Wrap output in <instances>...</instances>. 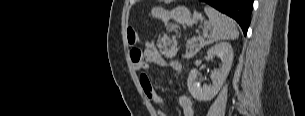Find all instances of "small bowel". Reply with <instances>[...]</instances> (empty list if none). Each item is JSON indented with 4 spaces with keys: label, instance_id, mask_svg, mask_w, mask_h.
I'll return each instance as SVG.
<instances>
[{
    "label": "small bowel",
    "instance_id": "c3829d8e",
    "mask_svg": "<svg viewBox=\"0 0 305 116\" xmlns=\"http://www.w3.org/2000/svg\"><path fill=\"white\" fill-rule=\"evenodd\" d=\"M130 57L133 63V67L136 71H144L149 68L150 64L158 66L168 67L177 72H181L182 66L179 62L165 59L157 49L154 43L146 42L144 50L133 49L130 53ZM140 83L145 96L156 104L165 106L166 102L162 96H160L149 77H140ZM177 103L182 111L183 116H194V108L191 99L187 96H179ZM159 116H167L165 112L160 111Z\"/></svg>",
    "mask_w": 305,
    "mask_h": 116
}]
</instances>
